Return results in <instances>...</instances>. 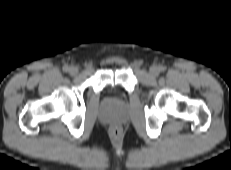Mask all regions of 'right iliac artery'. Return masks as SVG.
I'll return each mask as SVG.
<instances>
[{"instance_id":"82829eb1","label":"right iliac artery","mask_w":231,"mask_h":170,"mask_svg":"<svg viewBox=\"0 0 231 170\" xmlns=\"http://www.w3.org/2000/svg\"><path fill=\"white\" fill-rule=\"evenodd\" d=\"M63 71L68 72V71H69V67H68L67 65H65V66L63 67Z\"/></svg>"}]
</instances>
